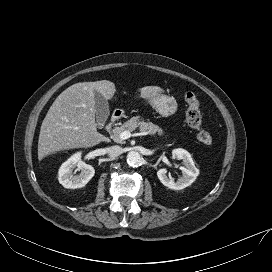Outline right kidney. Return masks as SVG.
Returning <instances> with one entry per match:
<instances>
[{"label":"right kidney","instance_id":"right-kidney-1","mask_svg":"<svg viewBox=\"0 0 272 272\" xmlns=\"http://www.w3.org/2000/svg\"><path fill=\"white\" fill-rule=\"evenodd\" d=\"M74 168L81 171L79 175H73ZM94 174V168L81 161V153L77 152L61 165L58 180L64 188L77 189L84 187Z\"/></svg>","mask_w":272,"mask_h":272}]
</instances>
